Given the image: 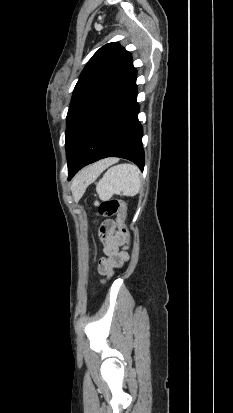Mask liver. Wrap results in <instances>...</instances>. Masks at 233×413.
Returning a JSON list of instances; mask_svg holds the SVG:
<instances>
[{
	"label": "liver",
	"instance_id": "6515ba94",
	"mask_svg": "<svg viewBox=\"0 0 233 413\" xmlns=\"http://www.w3.org/2000/svg\"><path fill=\"white\" fill-rule=\"evenodd\" d=\"M110 163V160H103L100 161L88 168H86L81 175L79 176V178H87L90 177L93 173L97 172V171H101L103 170L108 164ZM77 182H80L79 180Z\"/></svg>",
	"mask_w": 233,
	"mask_h": 413
}]
</instances>
